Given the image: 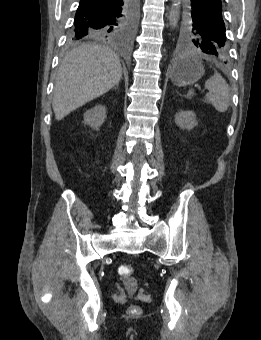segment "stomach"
<instances>
[{
  "label": "stomach",
  "mask_w": 261,
  "mask_h": 340,
  "mask_svg": "<svg viewBox=\"0 0 261 340\" xmlns=\"http://www.w3.org/2000/svg\"><path fill=\"white\" fill-rule=\"evenodd\" d=\"M204 67L196 57H185L174 63L170 78L176 86H187L197 82L204 75Z\"/></svg>",
  "instance_id": "stomach-1"
}]
</instances>
